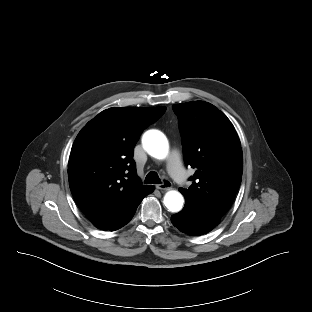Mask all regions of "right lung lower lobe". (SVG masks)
Instances as JSON below:
<instances>
[{
	"mask_svg": "<svg viewBox=\"0 0 312 312\" xmlns=\"http://www.w3.org/2000/svg\"><path fill=\"white\" fill-rule=\"evenodd\" d=\"M152 191H153V186H149V187L145 190V192H144V194H143V196H142V199H143L145 196H147L148 194H150ZM142 199H141V201H142ZM141 201H140V202H141ZM140 202L138 203V205L140 204ZM138 205L133 209V211L130 213V215H129L118 227H116V228L113 229L112 231L117 230V229L121 228L122 226L126 225V224L132 219V217H133V215H134V213H135V211H136Z\"/></svg>",
	"mask_w": 312,
	"mask_h": 312,
	"instance_id": "right-lung-lower-lobe-1",
	"label": "right lung lower lobe"
}]
</instances>
